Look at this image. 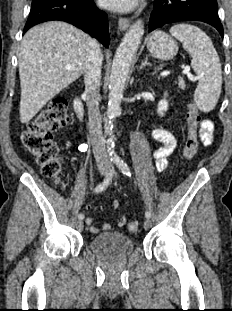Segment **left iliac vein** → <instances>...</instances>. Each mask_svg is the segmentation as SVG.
I'll return each mask as SVG.
<instances>
[{"label":"left iliac vein","instance_id":"obj_1","mask_svg":"<svg viewBox=\"0 0 232 311\" xmlns=\"http://www.w3.org/2000/svg\"><path fill=\"white\" fill-rule=\"evenodd\" d=\"M151 221L147 218L145 221H144V229L145 230H148L151 228Z\"/></svg>","mask_w":232,"mask_h":311}]
</instances>
